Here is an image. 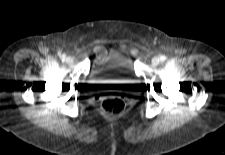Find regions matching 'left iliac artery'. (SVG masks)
<instances>
[{"instance_id":"obj_1","label":"left iliac artery","mask_w":225,"mask_h":155,"mask_svg":"<svg viewBox=\"0 0 225 155\" xmlns=\"http://www.w3.org/2000/svg\"><path fill=\"white\" fill-rule=\"evenodd\" d=\"M160 60L163 62L166 60V57L164 55L160 56Z\"/></svg>"}]
</instances>
